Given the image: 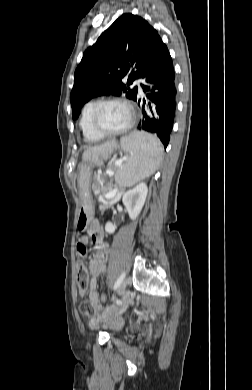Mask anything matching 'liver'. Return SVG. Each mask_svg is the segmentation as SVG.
<instances>
[{"mask_svg":"<svg viewBox=\"0 0 252 390\" xmlns=\"http://www.w3.org/2000/svg\"><path fill=\"white\" fill-rule=\"evenodd\" d=\"M107 144H109V143H107ZM107 144L95 146V147H88L87 150H96V149L104 148Z\"/></svg>","mask_w":252,"mask_h":390,"instance_id":"6515ba94","label":"liver"}]
</instances>
